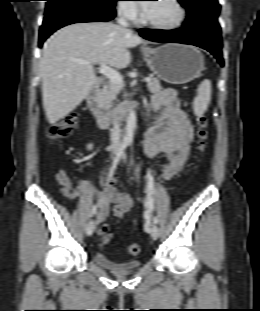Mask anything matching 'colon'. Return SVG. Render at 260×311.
<instances>
[{"label":"colon","instance_id":"obj_1","mask_svg":"<svg viewBox=\"0 0 260 311\" xmlns=\"http://www.w3.org/2000/svg\"><path fill=\"white\" fill-rule=\"evenodd\" d=\"M196 121L198 125L197 149L201 154L204 152L207 145L208 118L205 115H199ZM79 122V115L77 113H72L66 116L64 119L56 123L50 124L46 129V137L48 141L55 142L66 137L71 133L73 129H75L79 125ZM100 233L102 235V241L104 243H110L113 240V235L108 232L107 224H104L101 227ZM127 251L130 255H137L140 252V246L137 243L130 244L127 248Z\"/></svg>","mask_w":260,"mask_h":311}]
</instances>
